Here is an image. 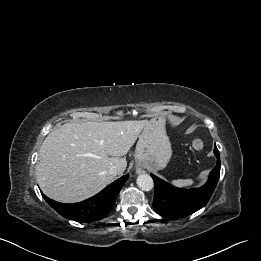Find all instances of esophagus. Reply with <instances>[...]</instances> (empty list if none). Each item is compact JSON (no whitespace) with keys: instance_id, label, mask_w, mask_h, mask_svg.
I'll list each match as a JSON object with an SVG mask.
<instances>
[{"instance_id":"obj_1","label":"esophagus","mask_w":261,"mask_h":261,"mask_svg":"<svg viewBox=\"0 0 261 261\" xmlns=\"http://www.w3.org/2000/svg\"><path fill=\"white\" fill-rule=\"evenodd\" d=\"M138 172H143L142 170H138Z\"/></svg>"}]
</instances>
